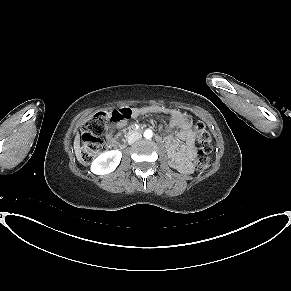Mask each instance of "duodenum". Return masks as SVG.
<instances>
[{
	"instance_id": "1",
	"label": "duodenum",
	"mask_w": 291,
	"mask_h": 291,
	"mask_svg": "<svg viewBox=\"0 0 291 291\" xmlns=\"http://www.w3.org/2000/svg\"><path fill=\"white\" fill-rule=\"evenodd\" d=\"M140 130H141V127L137 123L129 125L127 128L123 129L122 131L116 134L113 140V145L120 148L125 147L126 140L132 137L134 134L139 133Z\"/></svg>"
}]
</instances>
